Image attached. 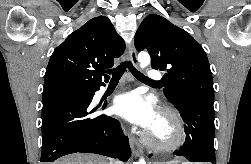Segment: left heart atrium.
<instances>
[{
  "mask_svg": "<svg viewBox=\"0 0 251 164\" xmlns=\"http://www.w3.org/2000/svg\"><path fill=\"white\" fill-rule=\"evenodd\" d=\"M115 112L148 130H153L159 115L152 103L137 91L119 95L114 103Z\"/></svg>",
  "mask_w": 251,
  "mask_h": 164,
  "instance_id": "obj_1",
  "label": "left heart atrium"
}]
</instances>
